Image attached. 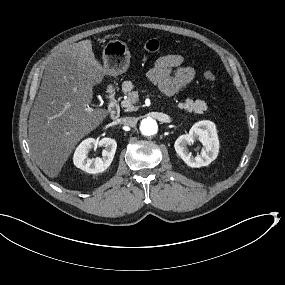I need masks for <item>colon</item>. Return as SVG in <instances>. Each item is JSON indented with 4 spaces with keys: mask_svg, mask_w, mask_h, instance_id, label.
<instances>
[{
    "mask_svg": "<svg viewBox=\"0 0 285 285\" xmlns=\"http://www.w3.org/2000/svg\"><path fill=\"white\" fill-rule=\"evenodd\" d=\"M143 49L146 52L155 53L161 49V43L157 39H148L143 43ZM203 77L210 82L216 79L215 74L211 71H205Z\"/></svg>",
    "mask_w": 285,
    "mask_h": 285,
    "instance_id": "obj_1",
    "label": "colon"
}]
</instances>
